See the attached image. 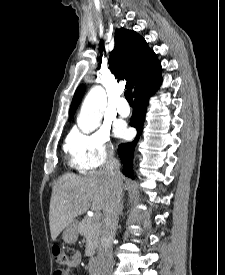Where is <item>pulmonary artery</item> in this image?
I'll return each instance as SVG.
<instances>
[{"mask_svg":"<svg viewBox=\"0 0 225 275\" xmlns=\"http://www.w3.org/2000/svg\"><path fill=\"white\" fill-rule=\"evenodd\" d=\"M116 112H117V115H119L120 117H127L130 114V108L127 105V102L125 99H121L118 102Z\"/></svg>","mask_w":225,"mask_h":275,"instance_id":"pulmonary-artery-1","label":"pulmonary artery"}]
</instances>
